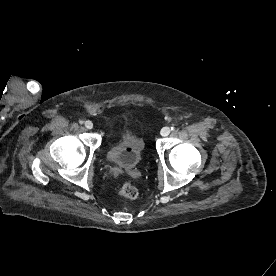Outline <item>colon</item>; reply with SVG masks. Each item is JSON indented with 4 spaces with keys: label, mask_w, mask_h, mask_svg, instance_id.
<instances>
[{
    "label": "colon",
    "mask_w": 276,
    "mask_h": 276,
    "mask_svg": "<svg viewBox=\"0 0 276 276\" xmlns=\"http://www.w3.org/2000/svg\"><path fill=\"white\" fill-rule=\"evenodd\" d=\"M119 194L127 199H135L138 196V189L131 183H123L119 187Z\"/></svg>",
    "instance_id": "1"
}]
</instances>
